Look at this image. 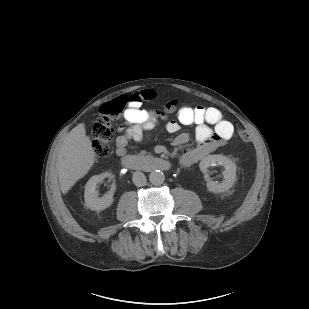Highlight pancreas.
Listing matches in <instances>:
<instances>
[{
    "label": "pancreas",
    "instance_id": "obj_1",
    "mask_svg": "<svg viewBox=\"0 0 309 309\" xmlns=\"http://www.w3.org/2000/svg\"><path fill=\"white\" fill-rule=\"evenodd\" d=\"M146 151H141L137 156H135V158H138V159H140V158H143L145 155H146Z\"/></svg>",
    "mask_w": 309,
    "mask_h": 309
}]
</instances>
